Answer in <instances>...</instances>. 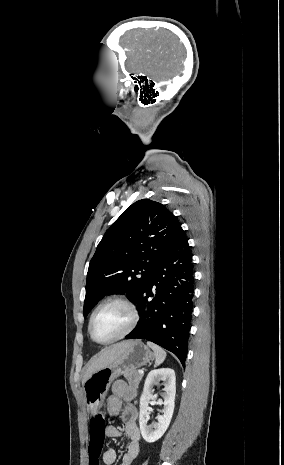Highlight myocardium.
Listing matches in <instances>:
<instances>
[{
	"mask_svg": "<svg viewBox=\"0 0 284 465\" xmlns=\"http://www.w3.org/2000/svg\"><path fill=\"white\" fill-rule=\"evenodd\" d=\"M110 305H118V306L124 307L130 314V323H129L127 329L122 334L117 336L116 338L108 340V341H98V340L94 339V337L92 335V331H91L92 322H93V319H94L95 315L102 308H104L106 306H110ZM138 321H139L138 310H137L136 306L130 300H128L126 298H122V297L109 299V300L103 302L102 304H100L93 311V313L91 314L90 319H89V323H88V334H89V337L91 338V340L93 342H95L96 344L110 345V344L116 343V342L121 341L124 338L128 337L133 332V330L135 329L136 325L138 324Z\"/></svg>",
	"mask_w": 284,
	"mask_h": 465,
	"instance_id": "obj_1",
	"label": "myocardium"
}]
</instances>
